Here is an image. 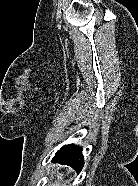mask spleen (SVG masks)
<instances>
[{"label":"spleen","mask_w":138,"mask_h":186,"mask_svg":"<svg viewBox=\"0 0 138 186\" xmlns=\"http://www.w3.org/2000/svg\"><path fill=\"white\" fill-rule=\"evenodd\" d=\"M62 176H63V175L60 174V173L57 174L58 179H62Z\"/></svg>","instance_id":"spleen-1"}]
</instances>
